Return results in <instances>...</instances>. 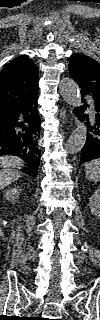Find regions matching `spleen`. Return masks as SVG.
<instances>
[{"label": "spleen", "mask_w": 100, "mask_h": 320, "mask_svg": "<svg viewBox=\"0 0 100 320\" xmlns=\"http://www.w3.org/2000/svg\"><path fill=\"white\" fill-rule=\"evenodd\" d=\"M85 175L89 181H100V160L95 159L85 164Z\"/></svg>", "instance_id": "obj_1"}]
</instances>
